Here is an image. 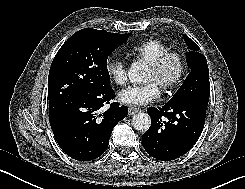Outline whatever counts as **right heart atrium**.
I'll list each match as a JSON object with an SVG mask.
<instances>
[{
    "label": "right heart atrium",
    "mask_w": 245,
    "mask_h": 189,
    "mask_svg": "<svg viewBox=\"0 0 245 189\" xmlns=\"http://www.w3.org/2000/svg\"><path fill=\"white\" fill-rule=\"evenodd\" d=\"M105 70L111 80L117 85H124L127 80L126 61L118 57H109L105 61Z\"/></svg>",
    "instance_id": "d8ad5b80"
}]
</instances>
